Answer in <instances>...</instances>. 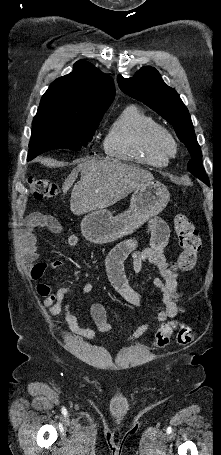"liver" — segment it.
<instances>
[{
    "mask_svg": "<svg viewBox=\"0 0 221 455\" xmlns=\"http://www.w3.org/2000/svg\"><path fill=\"white\" fill-rule=\"evenodd\" d=\"M79 172L81 179L75 183L70 200V209L75 215L109 207L154 179L149 171L137 166L116 160L91 159L79 163L71 171L62 185L64 194L72 187Z\"/></svg>",
    "mask_w": 221,
    "mask_h": 455,
    "instance_id": "liver-1",
    "label": "liver"
}]
</instances>
